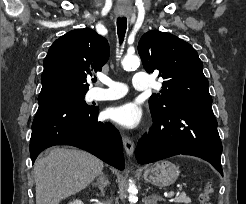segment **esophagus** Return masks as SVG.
Returning a JSON list of instances; mask_svg holds the SVG:
<instances>
[{"mask_svg": "<svg viewBox=\"0 0 246 204\" xmlns=\"http://www.w3.org/2000/svg\"><path fill=\"white\" fill-rule=\"evenodd\" d=\"M122 142L127 155L132 156L134 152V142L131 138L123 135Z\"/></svg>", "mask_w": 246, "mask_h": 204, "instance_id": "obj_1", "label": "esophagus"}]
</instances>
